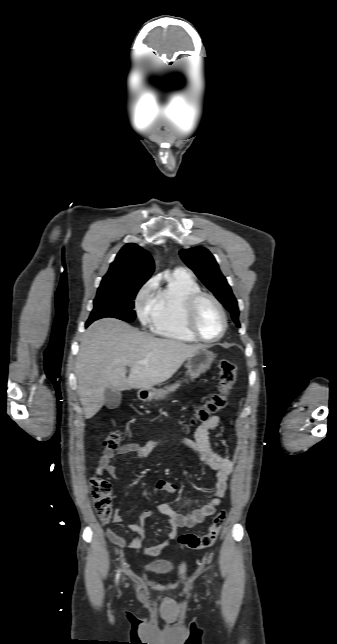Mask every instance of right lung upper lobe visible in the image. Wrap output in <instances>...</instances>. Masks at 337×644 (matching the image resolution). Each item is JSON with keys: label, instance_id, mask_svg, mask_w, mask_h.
I'll return each instance as SVG.
<instances>
[{"label": "right lung upper lobe", "instance_id": "right-lung-upper-lobe-1", "mask_svg": "<svg viewBox=\"0 0 337 644\" xmlns=\"http://www.w3.org/2000/svg\"><path fill=\"white\" fill-rule=\"evenodd\" d=\"M154 271L150 254L134 243L126 244L117 254L100 286H123L145 283Z\"/></svg>", "mask_w": 337, "mask_h": 644}]
</instances>
